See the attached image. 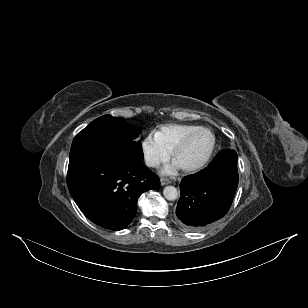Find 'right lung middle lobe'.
<instances>
[{
	"label": "right lung middle lobe",
	"mask_w": 308,
	"mask_h": 308,
	"mask_svg": "<svg viewBox=\"0 0 308 308\" xmlns=\"http://www.w3.org/2000/svg\"><path fill=\"white\" fill-rule=\"evenodd\" d=\"M142 132L122 118L103 115L80 131L74 138L69 161L82 158L109 157L142 162Z\"/></svg>",
	"instance_id": "obj_1"
}]
</instances>
